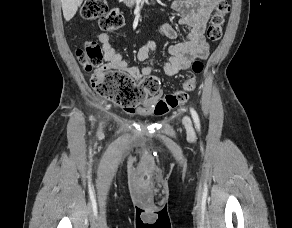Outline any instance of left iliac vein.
<instances>
[{"mask_svg":"<svg viewBox=\"0 0 292 228\" xmlns=\"http://www.w3.org/2000/svg\"><path fill=\"white\" fill-rule=\"evenodd\" d=\"M183 124H184V126H185V128H186V130L188 131L189 134H193L194 133L190 117L184 116Z\"/></svg>","mask_w":292,"mask_h":228,"instance_id":"obj_1","label":"left iliac vein"}]
</instances>
